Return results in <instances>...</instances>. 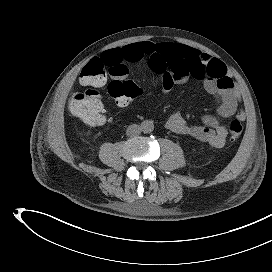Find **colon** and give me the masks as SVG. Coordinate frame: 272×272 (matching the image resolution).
I'll use <instances>...</instances> for the list:
<instances>
[{"label": "colon", "mask_w": 272, "mask_h": 272, "mask_svg": "<svg viewBox=\"0 0 272 272\" xmlns=\"http://www.w3.org/2000/svg\"><path fill=\"white\" fill-rule=\"evenodd\" d=\"M107 72L112 76L108 84V93L117 106H127L140 93L139 87L126 79L127 70L122 67L108 68L99 58L92 59L83 68L79 77L80 83L87 89L73 94L69 101L70 113L87 125H102L106 121L105 109L96 88L103 84ZM242 130L243 123L240 118H234L229 122L228 133L231 140H236Z\"/></svg>", "instance_id": "obj_1"}]
</instances>
